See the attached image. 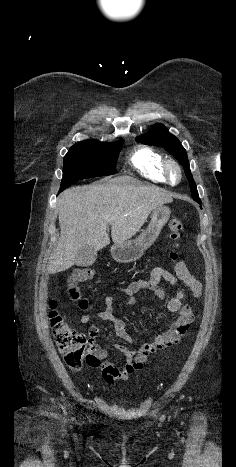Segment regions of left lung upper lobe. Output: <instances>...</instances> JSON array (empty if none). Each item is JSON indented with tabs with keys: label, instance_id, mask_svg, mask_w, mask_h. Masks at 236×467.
Returning a JSON list of instances; mask_svg holds the SVG:
<instances>
[{
	"label": "left lung upper lobe",
	"instance_id": "1",
	"mask_svg": "<svg viewBox=\"0 0 236 467\" xmlns=\"http://www.w3.org/2000/svg\"><path fill=\"white\" fill-rule=\"evenodd\" d=\"M136 141L143 144L161 146L165 148L167 152L173 155L184 168L191 187L192 198L194 200L199 199L197 187L190 172L186 150L182 147L181 143L174 135L170 134L163 125H158L143 137H137Z\"/></svg>",
	"mask_w": 236,
	"mask_h": 467
}]
</instances>
